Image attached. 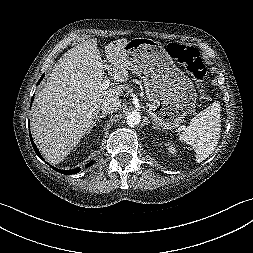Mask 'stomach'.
I'll return each instance as SVG.
<instances>
[{
	"label": "stomach",
	"instance_id": "obj_1",
	"mask_svg": "<svg viewBox=\"0 0 253 253\" xmlns=\"http://www.w3.org/2000/svg\"><path fill=\"white\" fill-rule=\"evenodd\" d=\"M128 69L145 85L148 114L156 126L173 129L195 106L192 81L174 64L162 44L147 38H134L124 45Z\"/></svg>",
	"mask_w": 253,
	"mask_h": 253
}]
</instances>
